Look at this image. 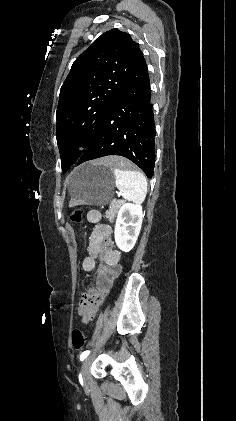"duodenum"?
Returning <instances> with one entry per match:
<instances>
[{
    "label": "duodenum",
    "instance_id": "obj_1",
    "mask_svg": "<svg viewBox=\"0 0 236 421\" xmlns=\"http://www.w3.org/2000/svg\"><path fill=\"white\" fill-rule=\"evenodd\" d=\"M99 255L103 260V265L98 270L97 286L83 298L82 302L83 314L86 316H91L100 308L119 271L120 255L116 250L104 244L99 250ZM90 259L94 260V257L91 256Z\"/></svg>",
    "mask_w": 236,
    "mask_h": 421
}]
</instances>
